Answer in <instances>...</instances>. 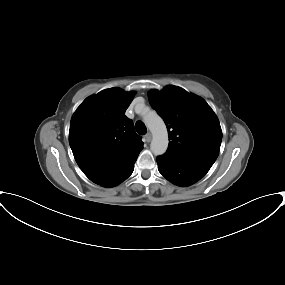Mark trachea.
<instances>
[{
  "mask_svg": "<svg viewBox=\"0 0 285 285\" xmlns=\"http://www.w3.org/2000/svg\"><path fill=\"white\" fill-rule=\"evenodd\" d=\"M135 129H136L137 133L140 134V135H145L146 132H147L146 126L141 121H137L136 122Z\"/></svg>",
  "mask_w": 285,
  "mask_h": 285,
  "instance_id": "1",
  "label": "trachea"
}]
</instances>
